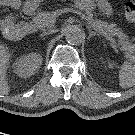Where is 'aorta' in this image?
Returning a JSON list of instances; mask_svg holds the SVG:
<instances>
[{
    "label": "aorta",
    "mask_w": 135,
    "mask_h": 135,
    "mask_svg": "<svg viewBox=\"0 0 135 135\" xmlns=\"http://www.w3.org/2000/svg\"><path fill=\"white\" fill-rule=\"evenodd\" d=\"M64 33H65V38L68 41V43L75 44V45L82 43L85 37L84 32L78 27L73 26V25L67 26L65 28Z\"/></svg>",
    "instance_id": "obj_1"
}]
</instances>
